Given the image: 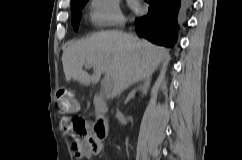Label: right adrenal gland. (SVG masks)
Returning <instances> with one entry per match:
<instances>
[{
    "label": "right adrenal gland",
    "mask_w": 242,
    "mask_h": 160,
    "mask_svg": "<svg viewBox=\"0 0 242 160\" xmlns=\"http://www.w3.org/2000/svg\"><path fill=\"white\" fill-rule=\"evenodd\" d=\"M149 85H150V80L149 79H144L141 81V83L135 87L130 93L129 95L127 96L124 104H127L129 102L130 99H133L136 95V92L137 91H141L142 94H146L147 91H148V88H149Z\"/></svg>",
    "instance_id": "right-adrenal-gland-1"
}]
</instances>
